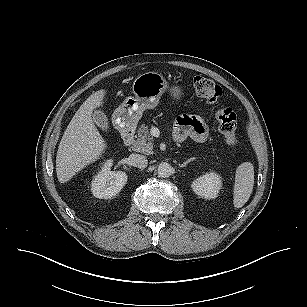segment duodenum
<instances>
[{
    "mask_svg": "<svg viewBox=\"0 0 307 307\" xmlns=\"http://www.w3.org/2000/svg\"><path fill=\"white\" fill-rule=\"evenodd\" d=\"M123 144L125 146H130L134 142L135 132L132 129H127L123 132Z\"/></svg>",
    "mask_w": 307,
    "mask_h": 307,
    "instance_id": "410a0bca",
    "label": "duodenum"
}]
</instances>
